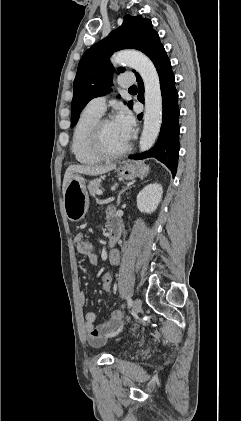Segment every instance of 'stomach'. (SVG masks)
<instances>
[{"label": "stomach", "instance_id": "obj_1", "mask_svg": "<svg viewBox=\"0 0 241 421\" xmlns=\"http://www.w3.org/2000/svg\"><path fill=\"white\" fill-rule=\"evenodd\" d=\"M149 172V167L144 163H121L117 168L118 176L125 180L144 178ZM64 210L67 218L72 222H79L85 216L89 207V198L86 190L85 179L75 174L67 184L64 193Z\"/></svg>", "mask_w": 241, "mask_h": 421}]
</instances>
